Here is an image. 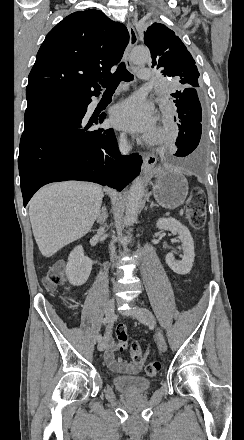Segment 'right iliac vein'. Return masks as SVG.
Wrapping results in <instances>:
<instances>
[{
    "mask_svg": "<svg viewBox=\"0 0 244 440\" xmlns=\"http://www.w3.org/2000/svg\"><path fill=\"white\" fill-rule=\"evenodd\" d=\"M114 310H115V300H114V298H111L107 301L106 306H105V315L109 318V323H111L113 321ZM110 328H111V326L109 325V327L105 333L104 339L102 341H100L98 344L99 351H103L110 341V338H111Z\"/></svg>",
    "mask_w": 244,
    "mask_h": 440,
    "instance_id": "right-iliac-vein-1",
    "label": "right iliac vein"
}]
</instances>
